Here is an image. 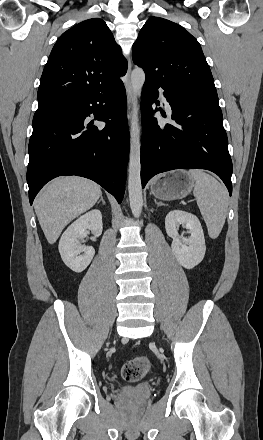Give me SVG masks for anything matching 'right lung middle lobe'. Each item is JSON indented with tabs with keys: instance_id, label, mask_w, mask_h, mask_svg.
Instances as JSON below:
<instances>
[{
	"instance_id": "1",
	"label": "right lung middle lobe",
	"mask_w": 263,
	"mask_h": 440,
	"mask_svg": "<svg viewBox=\"0 0 263 440\" xmlns=\"http://www.w3.org/2000/svg\"><path fill=\"white\" fill-rule=\"evenodd\" d=\"M63 109V104H53L38 107L33 118V129L43 125L53 117L59 115Z\"/></svg>"
}]
</instances>
